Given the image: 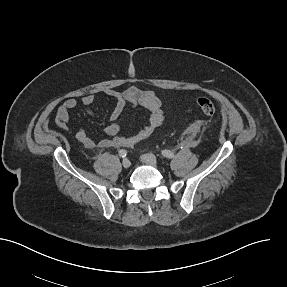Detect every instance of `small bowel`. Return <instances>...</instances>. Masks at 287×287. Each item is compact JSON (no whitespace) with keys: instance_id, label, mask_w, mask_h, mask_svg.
<instances>
[{"instance_id":"c3829d8e","label":"small bowel","mask_w":287,"mask_h":287,"mask_svg":"<svg viewBox=\"0 0 287 287\" xmlns=\"http://www.w3.org/2000/svg\"><path fill=\"white\" fill-rule=\"evenodd\" d=\"M104 93L116 101L115 108L110 115V124L104 130L108 137L95 141L84 128L80 127L75 133V139L85 148H131L138 142L147 139L164 121L163 102L153 91H144L131 86L123 91L106 89ZM94 100L93 94L85 95L81 98V105L86 111L92 112ZM76 106L77 101L74 98H69L58 108L56 122L62 130H69L70 112ZM128 107L144 108L148 112V121L136 134L118 136L123 115Z\"/></svg>"}]
</instances>
